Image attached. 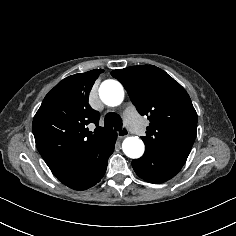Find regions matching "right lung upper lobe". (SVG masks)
I'll list each match as a JSON object with an SVG mask.
<instances>
[{
    "label": "right lung upper lobe",
    "mask_w": 236,
    "mask_h": 236,
    "mask_svg": "<svg viewBox=\"0 0 236 236\" xmlns=\"http://www.w3.org/2000/svg\"><path fill=\"white\" fill-rule=\"evenodd\" d=\"M103 71L66 77L45 96L34 116L36 146L50 169L84 158L116 134L98 126L99 113L88 104L89 92ZM89 123L97 126L94 133L86 127Z\"/></svg>",
    "instance_id": "cb5924a9"
}]
</instances>
